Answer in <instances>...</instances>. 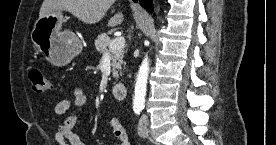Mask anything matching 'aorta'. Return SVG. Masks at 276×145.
Here are the masks:
<instances>
[{"instance_id":"1","label":"aorta","mask_w":276,"mask_h":145,"mask_svg":"<svg viewBox=\"0 0 276 145\" xmlns=\"http://www.w3.org/2000/svg\"><path fill=\"white\" fill-rule=\"evenodd\" d=\"M148 75H149V58L146 55L137 73L134 98H133V104L135 107H142L145 103Z\"/></svg>"}]
</instances>
